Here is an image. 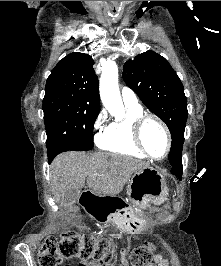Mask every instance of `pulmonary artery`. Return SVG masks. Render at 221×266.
Here are the masks:
<instances>
[{
	"instance_id": "pulmonary-artery-1",
	"label": "pulmonary artery",
	"mask_w": 221,
	"mask_h": 266,
	"mask_svg": "<svg viewBox=\"0 0 221 266\" xmlns=\"http://www.w3.org/2000/svg\"><path fill=\"white\" fill-rule=\"evenodd\" d=\"M123 103L127 107L138 108L140 107L136 94L128 87H123L121 90Z\"/></svg>"
}]
</instances>
